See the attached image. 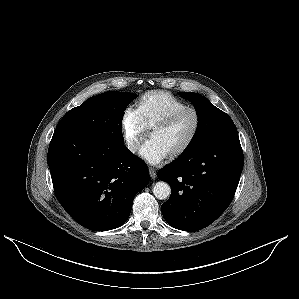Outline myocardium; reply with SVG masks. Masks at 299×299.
Returning <instances> with one entry per match:
<instances>
[{"mask_svg":"<svg viewBox=\"0 0 299 299\" xmlns=\"http://www.w3.org/2000/svg\"><path fill=\"white\" fill-rule=\"evenodd\" d=\"M192 113L194 115L195 118V123H194V128L192 130L191 135L189 136V138L186 140V142L177 150H175L174 152H172L169 156L171 158H177L182 156L183 154H185L193 145V143L195 142L199 131H200V127H201V115L199 113V111L194 108V107H185L182 108L178 111H175L173 113H171L170 115H168L167 117L163 118L162 120L156 122L151 128H150V135L158 129H165L170 127L173 123H175L179 118H181L184 114L186 113Z\"/></svg>","mask_w":299,"mask_h":299,"instance_id":"obj_1","label":"myocardium"}]
</instances>
